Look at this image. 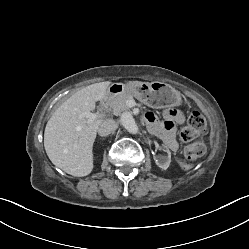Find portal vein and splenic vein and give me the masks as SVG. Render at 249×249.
<instances>
[{
  "label": "portal vein and splenic vein",
  "mask_w": 249,
  "mask_h": 249,
  "mask_svg": "<svg viewBox=\"0 0 249 249\" xmlns=\"http://www.w3.org/2000/svg\"><path fill=\"white\" fill-rule=\"evenodd\" d=\"M84 118H87L88 123L93 122L94 120L98 119V118H102L104 116V114H100V113H91V112H84L81 115Z\"/></svg>",
  "instance_id": "18ae733b"
}]
</instances>
